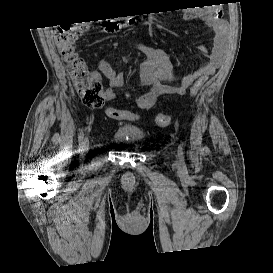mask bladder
Segmentation results:
<instances>
[{
	"label": "bladder",
	"instance_id": "bladder-1",
	"mask_svg": "<svg viewBox=\"0 0 273 273\" xmlns=\"http://www.w3.org/2000/svg\"><path fill=\"white\" fill-rule=\"evenodd\" d=\"M143 139L142 131L137 126L131 124H120L113 134V140L124 146H137Z\"/></svg>",
	"mask_w": 273,
	"mask_h": 273
}]
</instances>
